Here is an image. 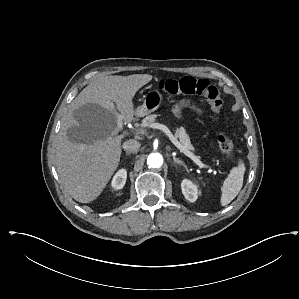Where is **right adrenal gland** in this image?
<instances>
[{
	"label": "right adrenal gland",
	"instance_id": "2a0ac1e0",
	"mask_svg": "<svg viewBox=\"0 0 299 299\" xmlns=\"http://www.w3.org/2000/svg\"><path fill=\"white\" fill-rule=\"evenodd\" d=\"M126 155H130V153H129V152H126Z\"/></svg>",
	"mask_w": 299,
	"mask_h": 299
}]
</instances>
